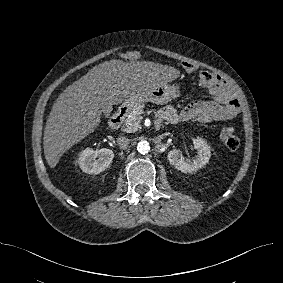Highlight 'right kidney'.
<instances>
[{
    "instance_id": "1",
    "label": "right kidney",
    "mask_w": 283,
    "mask_h": 283,
    "mask_svg": "<svg viewBox=\"0 0 283 283\" xmlns=\"http://www.w3.org/2000/svg\"><path fill=\"white\" fill-rule=\"evenodd\" d=\"M114 158L112 150L107 148L93 150L84 149L79 154L78 163L81 170L87 174H99L106 170Z\"/></svg>"
}]
</instances>
